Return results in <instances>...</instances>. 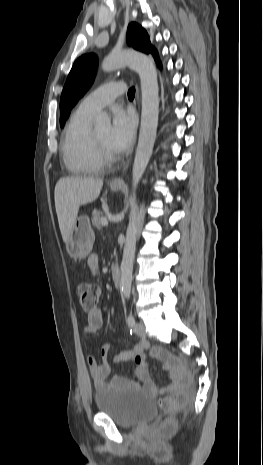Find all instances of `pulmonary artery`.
I'll return each mask as SVG.
<instances>
[{"label":"pulmonary artery","mask_w":263,"mask_h":465,"mask_svg":"<svg viewBox=\"0 0 263 465\" xmlns=\"http://www.w3.org/2000/svg\"><path fill=\"white\" fill-rule=\"evenodd\" d=\"M125 91L124 82H110L88 94L78 105V110L94 115Z\"/></svg>","instance_id":"1"}]
</instances>
